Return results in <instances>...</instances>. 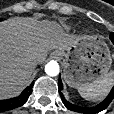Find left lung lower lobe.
Wrapping results in <instances>:
<instances>
[{
	"mask_svg": "<svg viewBox=\"0 0 114 114\" xmlns=\"http://www.w3.org/2000/svg\"><path fill=\"white\" fill-rule=\"evenodd\" d=\"M110 39H111V41L114 44V33H112V35H110ZM58 86H59V88H63L62 81H61L60 78L58 80ZM60 96L62 98L63 104L69 110L76 111V112H81V113H84V114H94V113H97V112H100V111L106 109L108 107V105L111 103V101L114 98V87L112 88L111 92L105 98L104 101H102L100 104L96 105L95 107H91V108L79 107V106H76V105L71 104L70 102H68L64 98V96H63V94L61 92H60Z\"/></svg>",
	"mask_w": 114,
	"mask_h": 114,
	"instance_id": "obj_1",
	"label": "left lung lower lobe"
}]
</instances>
